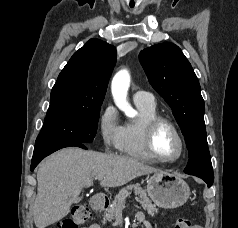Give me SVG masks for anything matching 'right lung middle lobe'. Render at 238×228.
<instances>
[{
	"mask_svg": "<svg viewBox=\"0 0 238 228\" xmlns=\"http://www.w3.org/2000/svg\"><path fill=\"white\" fill-rule=\"evenodd\" d=\"M100 106L66 108L47 113L35 144L91 143L96 135Z\"/></svg>",
	"mask_w": 238,
	"mask_h": 228,
	"instance_id": "right-lung-middle-lobe-1",
	"label": "right lung middle lobe"
}]
</instances>
